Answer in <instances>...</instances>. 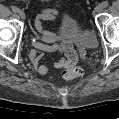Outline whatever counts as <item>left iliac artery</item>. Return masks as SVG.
Listing matches in <instances>:
<instances>
[{"label": "left iliac artery", "instance_id": "1", "mask_svg": "<svg viewBox=\"0 0 119 119\" xmlns=\"http://www.w3.org/2000/svg\"><path fill=\"white\" fill-rule=\"evenodd\" d=\"M102 6H103L104 8H106V7L108 6V1H103V2H102Z\"/></svg>", "mask_w": 119, "mask_h": 119}]
</instances>
